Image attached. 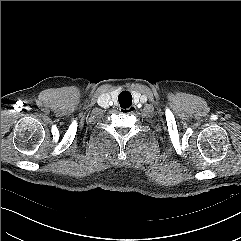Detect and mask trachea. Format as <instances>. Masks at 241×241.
Segmentation results:
<instances>
[{"mask_svg": "<svg viewBox=\"0 0 241 241\" xmlns=\"http://www.w3.org/2000/svg\"><path fill=\"white\" fill-rule=\"evenodd\" d=\"M118 101L122 108H128L132 103V95L129 92L124 91L119 95Z\"/></svg>", "mask_w": 241, "mask_h": 241, "instance_id": "trachea-1", "label": "trachea"}]
</instances>
